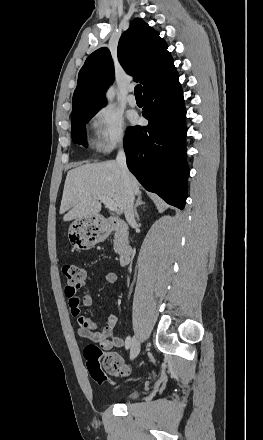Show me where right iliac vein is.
I'll return each mask as SVG.
<instances>
[{
    "instance_id": "63e3f726",
    "label": "right iliac vein",
    "mask_w": 263,
    "mask_h": 440,
    "mask_svg": "<svg viewBox=\"0 0 263 440\" xmlns=\"http://www.w3.org/2000/svg\"><path fill=\"white\" fill-rule=\"evenodd\" d=\"M140 352V341L137 336L133 337L131 350H130V359L134 360Z\"/></svg>"
}]
</instances>
